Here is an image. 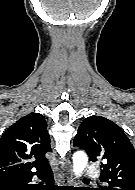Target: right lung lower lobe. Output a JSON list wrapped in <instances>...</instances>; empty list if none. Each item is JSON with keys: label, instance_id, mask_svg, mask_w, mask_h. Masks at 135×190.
I'll use <instances>...</instances> for the list:
<instances>
[{"label": "right lung lower lobe", "instance_id": "right-lung-lower-lobe-1", "mask_svg": "<svg viewBox=\"0 0 135 190\" xmlns=\"http://www.w3.org/2000/svg\"><path fill=\"white\" fill-rule=\"evenodd\" d=\"M33 175H37L41 180L47 177L48 184L45 190H57V186L53 185V176L51 168L44 173L32 174V175H14L8 176L0 180V190H35L37 188L29 186V183Z\"/></svg>", "mask_w": 135, "mask_h": 190}]
</instances>
